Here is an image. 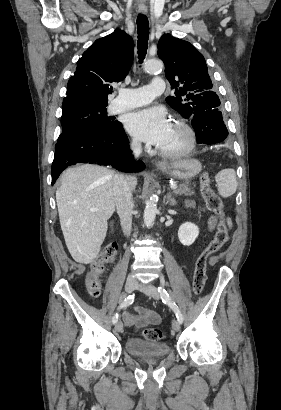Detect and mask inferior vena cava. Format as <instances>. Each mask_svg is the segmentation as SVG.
Listing matches in <instances>:
<instances>
[{
	"label": "inferior vena cava",
	"instance_id": "1",
	"mask_svg": "<svg viewBox=\"0 0 281 410\" xmlns=\"http://www.w3.org/2000/svg\"><path fill=\"white\" fill-rule=\"evenodd\" d=\"M131 149L135 157L141 154V143L133 141ZM113 195L117 213L120 218L121 227L125 236H129L132 229V189L130 186V178L124 175H116L113 181ZM129 279H134L129 276Z\"/></svg>",
	"mask_w": 281,
	"mask_h": 410
}]
</instances>
